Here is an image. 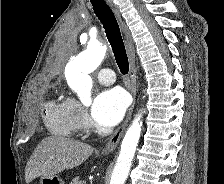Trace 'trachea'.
Returning a JSON list of instances; mask_svg holds the SVG:
<instances>
[{"mask_svg":"<svg viewBox=\"0 0 224 184\" xmlns=\"http://www.w3.org/2000/svg\"><path fill=\"white\" fill-rule=\"evenodd\" d=\"M94 13L100 20L105 30L107 39L112 47L116 63L122 74L129 71V62L119 25L114 13L104 0H90Z\"/></svg>","mask_w":224,"mask_h":184,"instance_id":"1","label":"trachea"}]
</instances>
